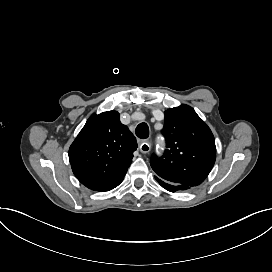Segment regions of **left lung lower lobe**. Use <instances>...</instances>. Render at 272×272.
Here are the masks:
<instances>
[{
    "label": "left lung lower lobe",
    "instance_id": "0a47b994",
    "mask_svg": "<svg viewBox=\"0 0 272 272\" xmlns=\"http://www.w3.org/2000/svg\"><path fill=\"white\" fill-rule=\"evenodd\" d=\"M155 179L158 181V183L164 187L166 190L170 191V192H176V191H182V190H187L190 189L189 187H185L182 185H176L170 182H167L161 178H159L158 176H155Z\"/></svg>",
    "mask_w": 272,
    "mask_h": 272
}]
</instances>
